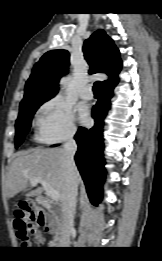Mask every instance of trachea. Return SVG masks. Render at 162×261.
I'll list each match as a JSON object with an SVG mask.
<instances>
[{
    "label": "trachea",
    "mask_w": 162,
    "mask_h": 261,
    "mask_svg": "<svg viewBox=\"0 0 162 261\" xmlns=\"http://www.w3.org/2000/svg\"><path fill=\"white\" fill-rule=\"evenodd\" d=\"M100 89H101V82L96 81L93 86V92L95 95H100Z\"/></svg>",
    "instance_id": "trachea-1"
}]
</instances>
